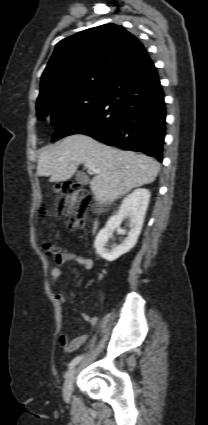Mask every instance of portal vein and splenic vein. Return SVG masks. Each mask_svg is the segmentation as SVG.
I'll list each match as a JSON object with an SVG mask.
<instances>
[{"label":"portal vein and splenic vein","mask_w":208,"mask_h":425,"mask_svg":"<svg viewBox=\"0 0 208 425\" xmlns=\"http://www.w3.org/2000/svg\"><path fill=\"white\" fill-rule=\"evenodd\" d=\"M85 167L90 170L92 173H100L101 171L99 169H97L92 163L90 162H86Z\"/></svg>","instance_id":"1"}]
</instances>
